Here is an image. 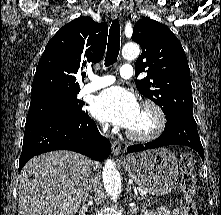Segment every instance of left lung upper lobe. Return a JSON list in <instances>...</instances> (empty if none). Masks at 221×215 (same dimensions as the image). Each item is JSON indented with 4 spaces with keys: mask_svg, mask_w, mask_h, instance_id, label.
<instances>
[{
    "mask_svg": "<svg viewBox=\"0 0 221 215\" xmlns=\"http://www.w3.org/2000/svg\"><path fill=\"white\" fill-rule=\"evenodd\" d=\"M132 40L142 48L135 63L138 91L159 105L166 119L194 118L190 69L184 49L164 24L149 17L140 19L133 28Z\"/></svg>",
    "mask_w": 221,
    "mask_h": 215,
    "instance_id": "left-lung-upper-lobe-1",
    "label": "left lung upper lobe"
}]
</instances>
